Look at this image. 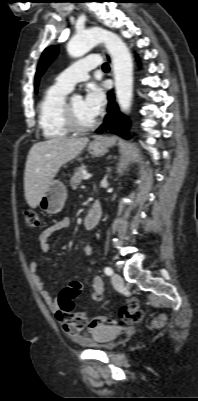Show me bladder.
Instances as JSON below:
<instances>
[{
	"label": "bladder",
	"mask_w": 198,
	"mask_h": 401,
	"mask_svg": "<svg viewBox=\"0 0 198 401\" xmlns=\"http://www.w3.org/2000/svg\"><path fill=\"white\" fill-rule=\"evenodd\" d=\"M121 332L122 328L118 326H104L97 332L93 339L85 342V346L111 352L116 349L117 344L115 339Z\"/></svg>",
	"instance_id": "31cf9c89"
}]
</instances>
